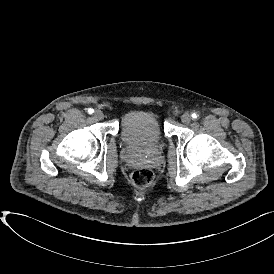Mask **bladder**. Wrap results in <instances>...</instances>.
<instances>
[{
	"mask_svg": "<svg viewBox=\"0 0 274 274\" xmlns=\"http://www.w3.org/2000/svg\"><path fill=\"white\" fill-rule=\"evenodd\" d=\"M119 135L121 141L130 147H153L163 140V125L152 109L136 108L124 116Z\"/></svg>",
	"mask_w": 274,
	"mask_h": 274,
	"instance_id": "obj_1",
	"label": "bladder"
}]
</instances>
